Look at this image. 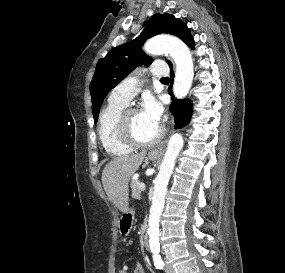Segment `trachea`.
<instances>
[{
    "mask_svg": "<svg viewBox=\"0 0 285 273\" xmlns=\"http://www.w3.org/2000/svg\"><path fill=\"white\" fill-rule=\"evenodd\" d=\"M161 80H169V78H168V77H165V78H161Z\"/></svg>",
    "mask_w": 285,
    "mask_h": 273,
    "instance_id": "3493384b",
    "label": "trachea"
}]
</instances>
